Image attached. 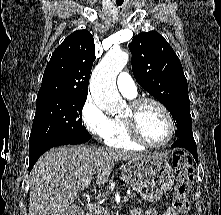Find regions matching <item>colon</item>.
Returning <instances> with one entry per match:
<instances>
[{
  "mask_svg": "<svg viewBox=\"0 0 221 215\" xmlns=\"http://www.w3.org/2000/svg\"><path fill=\"white\" fill-rule=\"evenodd\" d=\"M176 173L174 209L180 215H189L191 204L189 194L193 182V161L188 153L176 150L172 156Z\"/></svg>",
  "mask_w": 221,
  "mask_h": 215,
  "instance_id": "colon-1",
  "label": "colon"
}]
</instances>
